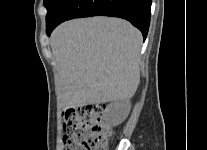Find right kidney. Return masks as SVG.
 <instances>
[{
  "label": "right kidney",
  "mask_w": 207,
  "mask_h": 150,
  "mask_svg": "<svg viewBox=\"0 0 207 150\" xmlns=\"http://www.w3.org/2000/svg\"><path fill=\"white\" fill-rule=\"evenodd\" d=\"M131 109L129 100H118L109 104L107 108L108 119L115 125L122 123Z\"/></svg>",
  "instance_id": "ca27d5eb"
}]
</instances>
